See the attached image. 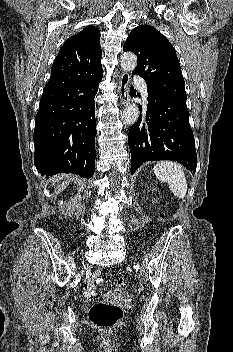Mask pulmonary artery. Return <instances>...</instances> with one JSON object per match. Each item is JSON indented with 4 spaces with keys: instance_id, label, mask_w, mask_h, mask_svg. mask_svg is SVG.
Listing matches in <instances>:
<instances>
[{
    "instance_id": "obj_1",
    "label": "pulmonary artery",
    "mask_w": 233,
    "mask_h": 352,
    "mask_svg": "<svg viewBox=\"0 0 233 352\" xmlns=\"http://www.w3.org/2000/svg\"><path fill=\"white\" fill-rule=\"evenodd\" d=\"M135 81L141 85L142 94L144 95V97H147L148 93L144 80L141 77L137 76L135 77Z\"/></svg>"
}]
</instances>
